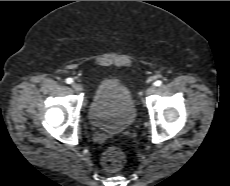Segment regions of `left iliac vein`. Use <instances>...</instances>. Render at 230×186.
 Here are the masks:
<instances>
[{"label": "left iliac vein", "instance_id": "1", "mask_svg": "<svg viewBox=\"0 0 230 186\" xmlns=\"http://www.w3.org/2000/svg\"><path fill=\"white\" fill-rule=\"evenodd\" d=\"M154 90H155V86H150V87L147 88L146 94H151V93L154 92Z\"/></svg>", "mask_w": 230, "mask_h": 186}]
</instances>
